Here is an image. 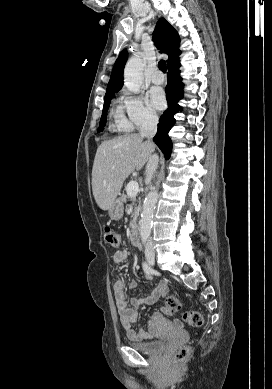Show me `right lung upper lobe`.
Returning a JSON list of instances; mask_svg holds the SVG:
<instances>
[{"instance_id": "right-lung-upper-lobe-1", "label": "right lung upper lobe", "mask_w": 272, "mask_h": 389, "mask_svg": "<svg viewBox=\"0 0 272 389\" xmlns=\"http://www.w3.org/2000/svg\"><path fill=\"white\" fill-rule=\"evenodd\" d=\"M153 39L158 49L162 53L168 54V66L178 60V56L181 54L179 50L180 38L177 31L164 18L158 20L153 32ZM127 57L128 53L126 50L119 54L113 67L105 96L114 94L122 88L123 71Z\"/></svg>"}]
</instances>
